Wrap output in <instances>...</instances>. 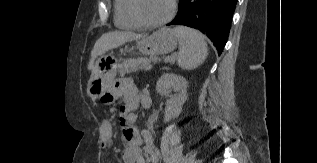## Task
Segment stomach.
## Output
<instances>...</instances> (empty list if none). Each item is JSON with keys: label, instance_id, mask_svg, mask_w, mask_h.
Returning <instances> with one entry per match:
<instances>
[{"label": "stomach", "instance_id": "stomach-1", "mask_svg": "<svg viewBox=\"0 0 317 163\" xmlns=\"http://www.w3.org/2000/svg\"><path fill=\"white\" fill-rule=\"evenodd\" d=\"M178 36L174 29L163 27L152 35L137 42V48L142 55L153 56L172 52L177 46ZM116 66L99 59L87 85V94L92 100L100 99L114 78Z\"/></svg>", "mask_w": 317, "mask_h": 163}]
</instances>
